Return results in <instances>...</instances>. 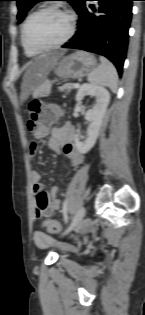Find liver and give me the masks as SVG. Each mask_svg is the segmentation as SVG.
<instances>
[{
	"mask_svg": "<svg viewBox=\"0 0 145 315\" xmlns=\"http://www.w3.org/2000/svg\"><path fill=\"white\" fill-rule=\"evenodd\" d=\"M64 55L61 53H52L38 57L31 62L26 73L24 74L21 85V102H24L33 90L49 75L55 67L58 60Z\"/></svg>",
	"mask_w": 145,
	"mask_h": 315,
	"instance_id": "obj_1",
	"label": "liver"
}]
</instances>
